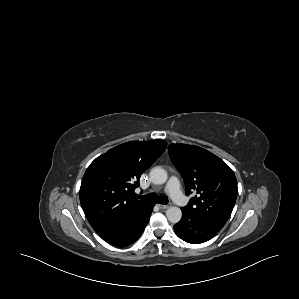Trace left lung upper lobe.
Listing matches in <instances>:
<instances>
[{
	"label": "left lung upper lobe",
	"instance_id": "5c2ea615",
	"mask_svg": "<svg viewBox=\"0 0 299 299\" xmlns=\"http://www.w3.org/2000/svg\"><path fill=\"white\" fill-rule=\"evenodd\" d=\"M168 152L183 177L186 195L194 193L182 210L221 230L237 197V180L232 169L216 155L198 146L170 144Z\"/></svg>",
	"mask_w": 299,
	"mask_h": 299
}]
</instances>
